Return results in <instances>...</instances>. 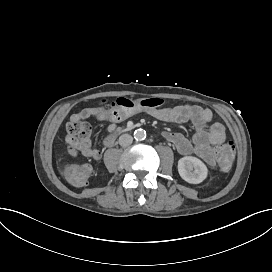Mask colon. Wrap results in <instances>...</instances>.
Segmentation results:
<instances>
[{
    "label": "colon",
    "mask_w": 272,
    "mask_h": 272,
    "mask_svg": "<svg viewBox=\"0 0 272 272\" xmlns=\"http://www.w3.org/2000/svg\"><path fill=\"white\" fill-rule=\"evenodd\" d=\"M115 106L110 113V118L114 122H120L128 118L134 111L142 109H157L164 104V99L160 97H146V98H134L127 99L122 96H116L114 98ZM99 106H105L107 99L105 97H99L97 99ZM94 110L91 107L84 108L82 111H77L69 115L67 124V137L66 146L63 151V157L71 156L73 158L78 157V149H83L88 144V137L91 133L90 125L83 121L84 117L93 115ZM78 149H76V148ZM236 145L232 141H228L225 146L218 149V165L221 171L229 170L232 166L235 157ZM65 174L68 178L72 179L76 183L83 182L87 176L88 171L83 166H77L70 164L65 169Z\"/></svg>",
    "instance_id": "5ec220e1"
}]
</instances>
